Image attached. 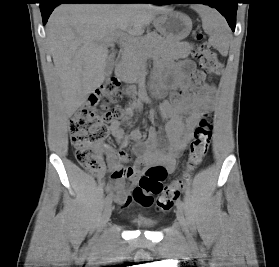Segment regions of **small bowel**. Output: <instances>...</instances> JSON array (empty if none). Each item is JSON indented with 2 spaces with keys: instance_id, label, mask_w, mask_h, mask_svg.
<instances>
[{
  "instance_id": "c3829d8e",
  "label": "small bowel",
  "mask_w": 279,
  "mask_h": 267,
  "mask_svg": "<svg viewBox=\"0 0 279 267\" xmlns=\"http://www.w3.org/2000/svg\"><path fill=\"white\" fill-rule=\"evenodd\" d=\"M158 71L166 75L162 83L163 87L180 88L184 91L191 89L190 78L194 71L193 62L182 60L177 63H161L158 65ZM213 91V84L204 83L194 94H186L178 105L167 101L161 104L160 111L168 120L166 125L167 145L162 148L158 147V132L155 127L148 129L146 137L139 129H133L128 136H125L124 126L130 124L134 110L140 109L139 103L128 107L121 119L111 122L110 133L121 147L126 146L129 141L137 142L133 149L137 156V165L160 167L164 170L166 178L167 174L175 171L177 157L192 137L202 112L209 106ZM127 160L128 155L122 150L118 154L107 151L108 167L113 171L112 183L107 188L111 198L121 207L131 204V183L136 180L138 173L135 167H120L119 161ZM120 170L130 171L131 174L129 176L118 175ZM126 177L130 179V183L125 182Z\"/></svg>"
}]
</instances>
